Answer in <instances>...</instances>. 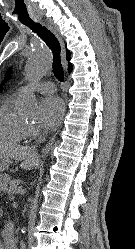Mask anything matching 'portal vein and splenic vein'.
Segmentation results:
<instances>
[{"mask_svg":"<svg viewBox=\"0 0 135 249\" xmlns=\"http://www.w3.org/2000/svg\"><path fill=\"white\" fill-rule=\"evenodd\" d=\"M11 199L13 200V199H14V197L12 196V197H11Z\"/></svg>","mask_w":135,"mask_h":249,"instance_id":"obj_1","label":"portal vein and splenic vein"}]
</instances>
